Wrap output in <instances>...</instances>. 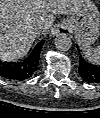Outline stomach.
Returning a JSON list of instances; mask_svg holds the SVG:
<instances>
[{"label": "stomach", "instance_id": "obj_1", "mask_svg": "<svg viewBox=\"0 0 100 118\" xmlns=\"http://www.w3.org/2000/svg\"><path fill=\"white\" fill-rule=\"evenodd\" d=\"M69 28L83 44H93L100 36V12L92 0H82L68 20Z\"/></svg>", "mask_w": 100, "mask_h": 118}]
</instances>
